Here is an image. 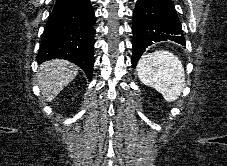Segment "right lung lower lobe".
Here are the masks:
<instances>
[{"mask_svg":"<svg viewBox=\"0 0 227 166\" xmlns=\"http://www.w3.org/2000/svg\"><path fill=\"white\" fill-rule=\"evenodd\" d=\"M94 10L89 0H57L42 36L37 62L62 58L93 73Z\"/></svg>","mask_w":227,"mask_h":166,"instance_id":"1","label":"right lung lower lobe"}]
</instances>
